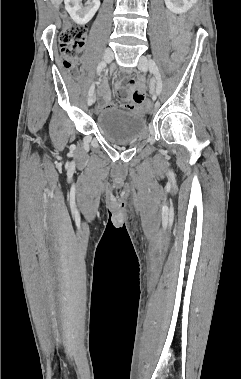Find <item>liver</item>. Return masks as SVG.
<instances>
[{
  "label": "liver",
  "mask_w": 241,
  "mask_h": 379,
  "mask_svg": "<svg viewBox=\"0 0 241 379\" xmlns=\"http://www.w3.org/2000/svg\"><path fill=\"white\" fill-rule=\"evenodd\" d=\"M52 1V3L56 6V7H58L59 5H60V3L62 2V0H51Z\"/></svg>",
  "instance_id": "obj_1"
}]
</instances>
